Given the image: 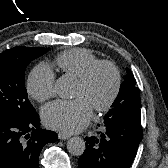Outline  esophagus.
<instances>
[{
    "instance_id": "esophagus-1",
    "label": "esophagus",
    "mask_w": 168,
    "mask_h": 168,
    "mask_svg": "<svg viewBox=\"0 0 168 168\" xmlns=\"http://www.w3.org/2000/svg\"><path fill=\"white\" fill-rule=\"evenodd\" d=\"M58 138H59L60 140H67V139L70 138V135H69V134H66V133L59 132V133H58Z\"/></svg>"
}]
</instances>
